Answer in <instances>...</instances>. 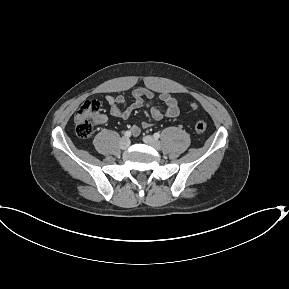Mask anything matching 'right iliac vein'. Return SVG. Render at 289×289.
I'll list each match as a JSON object with an SVG mask.
<instances>
[{"instance_id": "obj_1", "label": "right iliac vein", "mask_w": 289, "mask_h": 289, "mask_svg": "<svg viewBox=\"0 0 289 289\" xmlns=\"http://www.w3.org/2000/svg\"><path fill=\"white\" fill-rule=\"evenodd\" d=\"M129 145H130V140L126 137H123L119 142V146L122 150L127 149Z\"/></svg>"}]
</instances>
